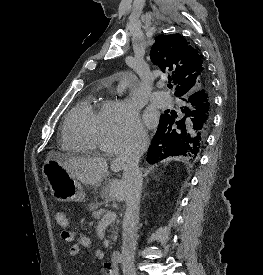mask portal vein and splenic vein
<instances>
[{"mask_svg":"<svg viewBox=\"0 0 263 275\" xmlns=\"http://www.w3.org/2000/svg\"><path fill=\"white\" fill-rule=\"evenodd\" d=\"M117 215L115 212H107L101 219L100 224H110L115 221Z\"/></svg>","mask_w":263,"mask_h":275,"instance_id":"1","label":"portal vein and splenic vein"}]
</instances>
